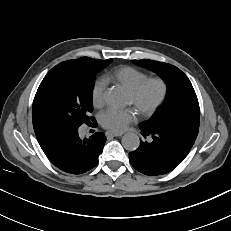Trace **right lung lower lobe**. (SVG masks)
<instances>
[{"label":"right lung lower lobe","mask_w":231,"mask_h":231,"mask_svg":"<svg viewBox=\"0 0 231 231\" xmlns=\"http://www.w3.org/2000/svg\"><path fill=\"white\" fill-rule=\"evenodd\" d=\"M39 145L60 170L82 174L96 166L106 137L97 132L90 139H80L78 128L44 126L35 130Z\"/></svg>","instance_id":"obj_1"}]
</instances>
